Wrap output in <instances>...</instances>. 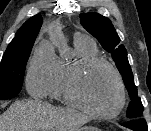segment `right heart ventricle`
Instances as JSON below:
<instances>
[{
	"mask_svg": "<svg viewBox=\"0 0 151 131\" xmlns=\"http://www.w3.org/2000/svg\"><path fill=\"white\" fill-rule=\"evenodd\" d=\"M76 56L73 60H57L54 62V73L48 95L55 99L67 100L66 81L71 72L86 59L98 56L96 44L88 38H75Z\"/></svg>",
	"mask_w": 151,
	"mask_h": 131,
	"instance_id": "1",
	"label": "right heart ventricle"
}]
</instances>
